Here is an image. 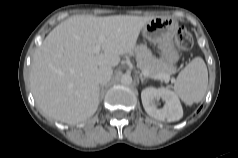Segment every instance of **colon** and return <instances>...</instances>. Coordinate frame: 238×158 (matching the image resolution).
I'll return each instance as SVG.
<instances>
[{
    "label": "colon",
    "instance_id": "obj_1",
    "mask_svg": "<svg viewBox=\"0 0 238 158\" xmlns=\"http://www.w3.org/2000/svg\"><path fill=\"white\" fill-rule=\"evenodd\" d=\"M176 45L183 51H189L193 47V39L191 34L184 28H178L175 36Z\"/></svg>",
    "mask_w": 238,
    "mask_h": 158
}]
</instances>
